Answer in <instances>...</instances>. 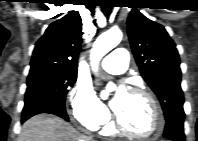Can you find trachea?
Returning a JSON list of instances; mask_svg holds the SVG:
<instances>
[{"instance_id":"obj_1","label":"trachea","mask_w":198,"mask_h":141,"mask_svg":"<svg viewBox=\"0 0 198 141\" xmlns=\"http://www.w3.org/2000/svg\"><path fill=\"white\" fill-rule=\"evenodd\" d=\"M104 7H105L106 10H110L111 9V6H109V5H106Z\"/></svg>"}]
</instances>
